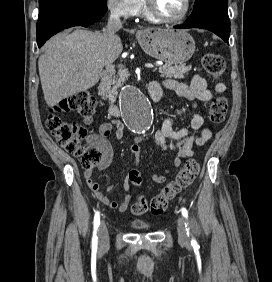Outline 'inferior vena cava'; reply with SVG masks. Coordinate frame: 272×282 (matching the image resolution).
Segmentation results:
<instances>
[{
    "label": "inferior vena cava",
    "instance_id": "1",
    "mask_svg": "<svg viewBox=\"0 0 272 282\" xmlns=\"http://www.w3.org/2000/svg\"><path fill=\"white\" fill-rule=\"evenodd\" d=\"M121 15L114 6L110 8V15L105 32L109 38L114 37L115 33L122 28Z\"/></svg>",
    "mask_w": 272,
    "mask_h": 282
}]
</instances>
